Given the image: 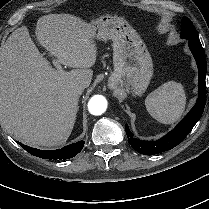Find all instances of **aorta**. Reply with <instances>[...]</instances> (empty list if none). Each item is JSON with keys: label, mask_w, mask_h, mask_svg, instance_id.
<instances>
[{"label": "aorta", "mask_w": 209, "mask_h": 209, "mask_svg": "<svg viewBox=\"0 0 209 209\" xmlns=\"http://www.w3.org/2000/svg\"><path fill=\"white\" fill-rule=\"evenodd\" d=\"M107 109V100L102 95H94L88 102V110L92 115H101Z\"/></svg>", "instance_id": "762f6f07"}]
</instances>
